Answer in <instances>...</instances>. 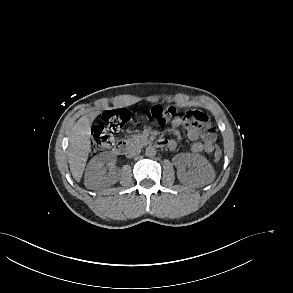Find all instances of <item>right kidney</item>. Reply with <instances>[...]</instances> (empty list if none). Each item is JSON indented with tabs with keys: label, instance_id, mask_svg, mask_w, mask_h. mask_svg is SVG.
<instances>
[{
	"label": "right kidney",
	"instance_id": "ca27d5eb",
	"mask_svg": "<svg viewBox=\"0 0 293 293\" xmlns=\"http://www.w3.org/2000/svg\"><path fill=\"white\" fill-rule=\"evenodd\" d=\"M108 162H110V158L104 153L98 154L91 159L86 168L84 180V184L88 189L111 186L118 181L119 173H106L104 164Z\"/></svg>",
	"mask_w": 293,
	"mask_h": 293
}]
</instances>
